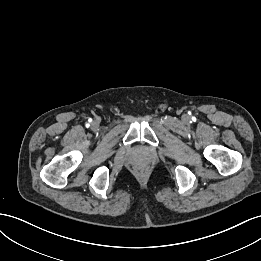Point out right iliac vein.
<instances>
[{
	"label": "right iliac vein",
	"instance_id": "right-iliac-vein-1",
	"mask_svg": "<svg viewBox=\"0 0 261 261\" xmlns=\"http://www.w3.org/2000/svg\"><path fill=\"white\" fill-rule=\"evenodd\" d=\"M98 125H99L98 121H93V122H92V126H93V127H97Z\"/></svg>",
	"mask_w": 261,
	"mask_h": 261
}]
</instances>
